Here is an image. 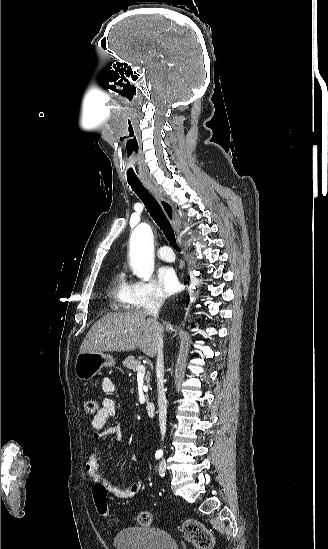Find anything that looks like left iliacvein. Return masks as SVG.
Segmentation results:
<instances>
[{
    "instance_id": "left-iliac-vein-1",
    "label": "left iliac vein",
    "mask_w": 328,
    "mask_h": 549,
    "mask_svg": "<svg viewBox=\"0 0 328 549\" xmlns=\"http://www.w3.org/2000/svg\"><path fill=\"white\" fill-rule=\"evenodd\" d=\"M165 472H166V463H165V461H162V462L160 463V466H159V474H160L161 476H164V475H165Z\"/></svg>"
}]
</instances>
